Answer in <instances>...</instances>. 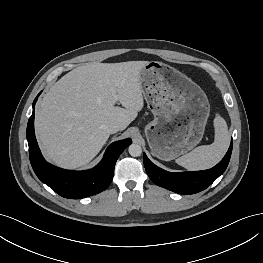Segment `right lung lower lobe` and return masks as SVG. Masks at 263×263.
Returning a JSON list of instances; mask_svg holds the SVG:
<instances>
[{
  "mask_svg": "<svg viewBox=\"0 0 263 263\" xmlns=\"http://www.w3.org/2000/svg\"><path fill=\"white\" fill-rule=\"evenodd\" d=\"M41 93V92H40ZM38 94V96L40 95ZM27 125V140L32 168L38 178L60 196L80 199L104 191L111 183L115 163L132 141L130 138L112 143L101 162L91 170L70 171L55 167L45 161L38 147L34 133L35 103Z\"/></svg>",
  "mask_w": 263,
  "mask_h": 263,
  "instance_id": "obj_1",
  "label": "right lung lower lobe"
}]
</instances>
